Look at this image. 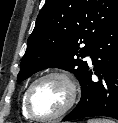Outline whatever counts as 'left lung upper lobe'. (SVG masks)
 <instances>
[{"mask_svg": "<svg viewBox=\"0 0 118 123\" xmlns=\"http://www.w3.org/2000/svg\"><path fill=\"white\" fill-rule=\"evenodd\" d=\"M117 18L118 0H46L28 38L17 80L57 67L73 72L81 84L89 68L84 58Z\"/></svg>", "mask_w": 118, "mask_h": 123, "instance_id": "5c2ea615", "label": "left lung upper lobe"}]
</instances>
